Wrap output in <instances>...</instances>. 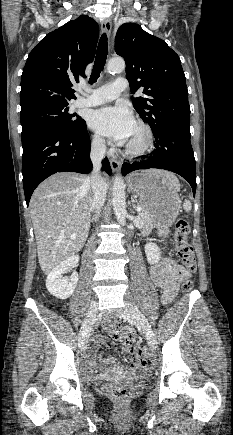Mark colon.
<instances>
[{
  "mask_svg": "<svg viewBox=\"0 0 233 435\" xmlns=\"http://www.w3.org/2000/svg\"><path fill=\"white\" fill-rule=\"evenodd\" d=\"M189 233L190 226L187 221L178 219L175 223V245L177 254L181 264L185 267V269L188 272L193 273L196 270V263L193 248L188 241ZM181 288L184 293H190L193 290L192 280H184L182 282ZM125 347L134 353L146 354L140 345L133 341L132 332L129 330L127 331ZM102 393L105 396L110 397L119 405L126 403L130 397V391L121 386L104 385L102 387Z\"/></svg>",
  "mask_w": 233,
  "mask_h": 435,
  "instance_id": "colon-1",
  "label": "colon"
}]
</instances>
